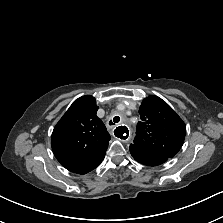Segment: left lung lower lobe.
Returning <instances> with one entry per match:
<instances>
[{"instance_id": "obj_1", "label": "left lung lower lobe", "mask_w": 223, "mask_h": 223, "mask_svg": "<svg viewBox=\"0 0 223 223\" xmlns=\"http://www.w3.org/2000/svg\"><path fill=\"white\" fill-rule=\"evenodd\" d=\"M130 153L133 156V158L146 166H157L160 165L168 160L167 157H164L162 155L154 154L151 152H147L144 150H141L137 147L131 146L129 147Z\"/></svg>"}]
</instances>
